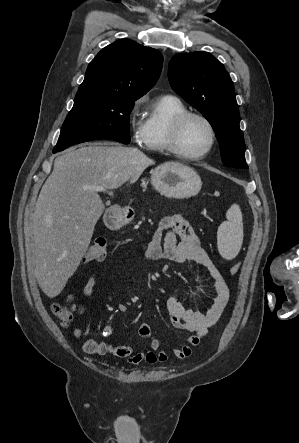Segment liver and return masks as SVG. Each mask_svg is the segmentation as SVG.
<instances>
[{"instance_id": "obj_1", "label": "liver", "mask_w": 299, "mask_h": 443, "mask_svg": "<svg viewBox=\"0 0 299 443\" xmlns=\"http://www.w3.org/2000/svg\"><path fill=\"white\" fill-rule=\"evenodd\" d=\"M153 164L141 150L119 145L71 148L55 159L32 224L35 276L48 297L58 296L77 270L105 210L99 191L85 187L118 188Z\"/></svg>"}]
</instances>
